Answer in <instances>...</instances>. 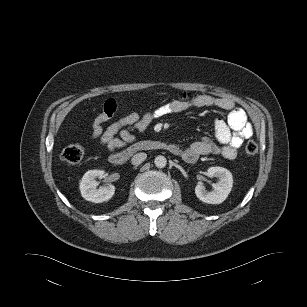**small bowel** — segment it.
<instances>
[{
    "instance_id": "small-bowel-1",
    "label": "small bowel",
    "mask_w": 307,
    "mask_h": 307,
    "mask_svg": "<svg viewBox=\"0 0 307 307\" xmlns=\"http://www.w3.org/2000/svg\"><path fill=\"white\" fill-rule=\"evenodd\" d=\"M190 108H218L228 112L226 119L217 118L214 121V139L205 137L195 141L184 149L171 146V150L180 153L188 163H194L200 156L220 154L232 160L237 156L238 149L245 139L252 136V126L247 120L245 111L227 97H215L207 94L192 95L182 93L153 111L140 115L131 112L105 127L117 111V102L108 99L102 111L94 118L90 138L98 141L108 151L114 152L136 139L134 132L143 133L153 120L166 115L179 113Z\"/></svg>"
}]
</instances>
